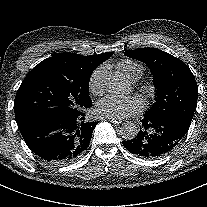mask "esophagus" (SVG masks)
<instances>
[{"label":"esophagus","mask_w":207,"mask_h":207,"mask_svg":"<svg viewBox=\"0 0 207 207\" xmlns=\"http://www.w3.org/2000/svg\"><path fill=\"white\" fill-rule=\"evenodd\" d=\"M105 118L111 122H114L116 126H121L123 124V119L121 117L114 118L111 116H106Z\"/></svg>","instance_id":"obj_1"}]
</instances>
